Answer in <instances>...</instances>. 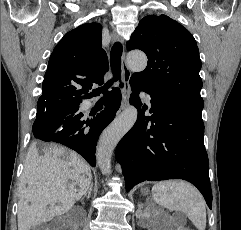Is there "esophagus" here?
<instances>
[{
    "label": "esophagus",
    "mask_w": 241,
    "mask_h": 230,
    "mask_svg": "<svg viewBox=\"0 0 241 230\" xmlns=\"http://www.w3.org/2000/svg\"><path fill=\"white\" fill-rule=\"evenodd\" d=\"M111 42H121L120 37L116 33H112ZM131 71L126 63L125 54L122 55V82H123V97L121 101V106L119 112L124 110L129 105V97H130V81Z\"/></svg>",
    "instance_id": "1"
}]
</instances>
